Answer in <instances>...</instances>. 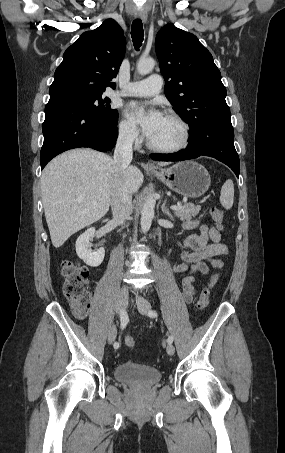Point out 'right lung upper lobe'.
I'll return each mask as SVG.
<instances>
[{
	"mask_svg": "<svg viewBox=\"0 0 285 453\" xmlns=\"http://www.w3.org/2000/svg\"><path fill=\"white\" fill-rule=\"evenodd\" d=\"M125 48L123 30L113 19L84 32L64 52L49 89L50 97L70 92L102 94L107 86L115 89L116 84L110 81L117 76Z\"/></svg>",
	"mask_w": 285,
	"mask_h": 453,
	"instance_id": "cb5924a9",
	"label": "right lung upper lobe"
}]
</instances>
